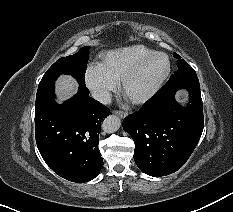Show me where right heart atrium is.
<instances>
[{
  "mask_svg": "<svg viewBox=\"0 0 233 212\" xmlns=\"http://www.w3.org/2000/svg\"><path fill=\"white\" fill-rule=\"evenodd\" d=\"M84 80L93 97L99 102L106 103L118 82L103 69L100 64H90L85 71Z\"/></svg>",
  "mask_w": 233,
  "mask_h": 212,
  "instance_id": "obj_1",
  "label": "right heart atrium"
}]
</instances>
